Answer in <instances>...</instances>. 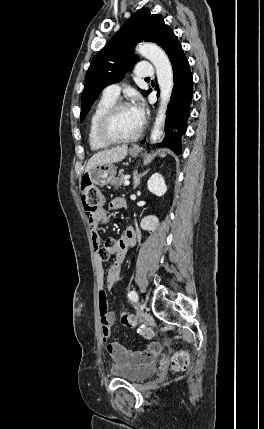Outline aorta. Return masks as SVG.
<instances>
[{
    "label": "aorta",
    "mask_w": 264,
    "mask_h": 429,
    "mask_svg": "<svg viewBox=\"0 0 264 429\" xmlns=\"http://www.w3.org/2000/svg\"><path fill=\"white\" fill-rule=\"evenodd\" d=\"M136 51L150 60L156 69L160 89V106L150 136V143L155 144L162 135V125L165 121L167 105L173 89L172 66L163 49L154 43H142L137 47Z\"/></svg>",
    "instance_id": "obj_1"
}]
</instances>
